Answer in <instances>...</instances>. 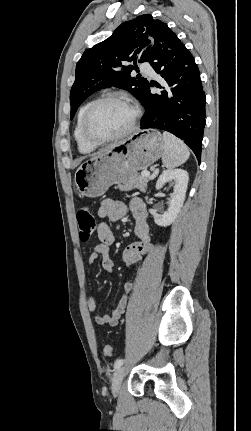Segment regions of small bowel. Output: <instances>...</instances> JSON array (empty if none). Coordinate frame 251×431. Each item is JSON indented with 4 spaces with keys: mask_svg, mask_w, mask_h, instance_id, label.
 Returning <instances> with one entry per match:
<instances>
[{
    "mask_svg": "<svg viewBox=\"0 0 251 431\" xmlns=\"http://www.w3.org/2000/svg\"><path fill=\"white\" fill-rule=\"evenodd\" d=\"M130 210L135 219V234L139 238L138 241L128 245L123 252V261L127 267H131L141 261L143 256L152 251L153 245L150 240L149 226L147 223V209L145 204L138 198H135L130 203ZM127 206L121 202L112 199H105L100 203L98 216L102 219L110 221H119L127 214ZM97 236L99 242L95 245L93 252L89 256V264L92 265L98 258H101L103 269L109 273H113L114 263L109 256L110 247L115 242V236L110 230L105 221H101L97 227ZM127 292L133 289V283L127 281L124 285ZM128 304V296L123 295L118 304L112 309L110 314H93V320L101 326H115L118 320L125 312ZM89 311L94 312L96 303L92 296L87 299Z\"/></svg>",
    "mask_w": 251,
    "mask_h": 431,
    "instance_id": "c3829d8e",
    "label": "small bowel"
}]
</instances>
